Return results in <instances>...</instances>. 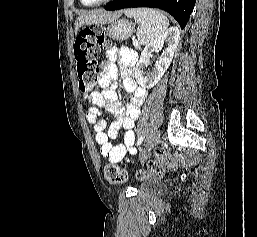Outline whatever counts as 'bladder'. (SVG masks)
<instances>
[{
  "label": "bladder",
  "instance_id": "obj_1",
  "mask_svg": "<svg viewBox=\"0 0 257 237\" xmlns=\"http://www.w3.org/2000/svg\"><path fill=\"white\" fill-rule=\"evenodd\" d=\"M140 190H143L145 192H157L158 189V183L154 180H145L143 181L140 186Z\"/></svg>",
  "mask_w": 257,
  "mask_h": 237
}]
</instances>
